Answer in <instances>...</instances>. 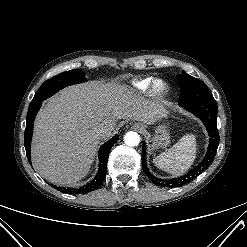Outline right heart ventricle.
I'll return each instance as SVG.
<instances>
[{"label":"right heart ventricle","mask_w":247,"mask_h":247,"mask_svg":"<svg viewBox=\"0 0 247 247\" xmlns=\"http://www.w3.org/2000/svg\"><path fill=\"white\" fill-rule=\"evenodd\" d=\"M151 82H152V78L147 77V78L135 80L132 83V85L134 89H136L137 91L143 92L149 88Z\"/></svg>","instance_id":"right-heart-ventricle-1"}]
</instances>
